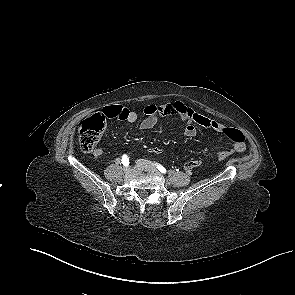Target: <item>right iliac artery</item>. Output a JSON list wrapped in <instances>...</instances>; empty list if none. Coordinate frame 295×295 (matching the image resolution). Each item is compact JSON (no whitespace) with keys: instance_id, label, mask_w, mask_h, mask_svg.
I'll use <instances>...</instances> for the list:
<instances>
[{"instance_id":"right-iliac-artery-1","label":"right iliac artery","mask_w":295,"mask_h":295,"mask_svg":"<svg viewBox=\"0 0 295 295\" xmlns=\"http://www.w3.org/2000/svg\"><path fill=\"white\" fill-rule=\"evenodd\" d=\"M116 161H117V163H120V164L123 163L124 166H129V158H128V156L126 154H124L122 156V159L118 158Z\"/></svg>"}]
</instances>
